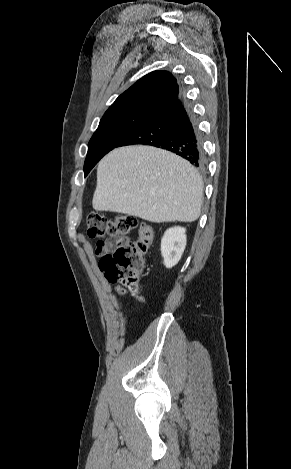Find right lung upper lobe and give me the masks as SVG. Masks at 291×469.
Returning a JSON list of instances; mask_svg holds the SVG:
<instances>
[{"mask_svg": "<svg viewBox=\"0 0 291 469\" xmlns=\"http://www.w3.org/2000/svg\"><path fill=\"white\" fill-rule=\"evenodd\" d=\"M181 95L176 78L168 71H153L122 93L104 115L124 111L154 114Z\"/></svg>", "mask_w": 291, "mask_h": 469, "instance_id": "obj_1", "label": "right lung upper lobe"}]
</instances>
